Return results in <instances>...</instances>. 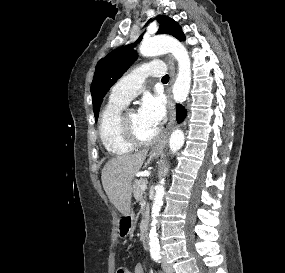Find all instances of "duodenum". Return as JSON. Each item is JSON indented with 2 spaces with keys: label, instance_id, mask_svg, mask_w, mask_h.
Masks as SVG:
<instances>
[{
  "label": "duodenum",
  "instance_id": "obj_1",
  "mask_svg": "<svg viewBox=\"0 0 285 273\" xmlns=\"http://www.w3.org/2000/svg\"><path fill=\"white\" fill-rule=\"evenodd\" d=\"M142 243H143L144 249H148V248H149V236H148L147 233H145V234L143 235Z\"/></svg>",
  "mask_w": 285,
  "mask_h": 273
}]
</instances>
